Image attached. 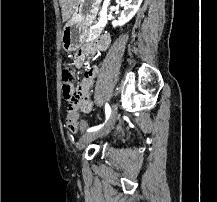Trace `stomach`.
I'll use <instances>...</instances> for the list:
<instances>
[{
  "instance_id": "obj_1",
  "label": "stomach",
  "mask_w": 217,
  "mask_h": 202,
  "mask_svg": "<svg viewBox=\"0 0 217 202\" xmlns=\"http://www.w3.org/2000/svg\"><path fill=\"white\" fill-rule=\"evenodd\" d=\"M98 4L99 0H78L61 36L62 46L66 52H75L85 44L89 26L96 20Z\"/></svg>"
}]
</instances>
